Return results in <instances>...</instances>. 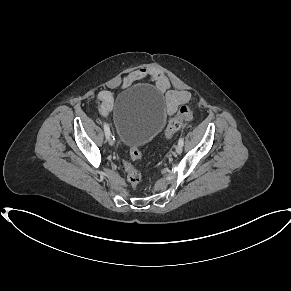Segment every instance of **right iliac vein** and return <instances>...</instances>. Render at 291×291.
Listing matches in <instances>:
<instances>
[{
	"mask_svg": "<svg viewBox=\"0 0 291 291\" xmlns=\"http://www.w3.org/2000/svg\"><path fill=\"white\" fill-rule=\"evenodd\" d=\"M108 142H109L110 145L114 144V139H113L111 134H109V136H108Z\"/></svg>",
	"mask_w": 291,
	"mask_h": 291,
	"instance_id": "1",
	"label": "right iliac vein"
}]
</instances>
